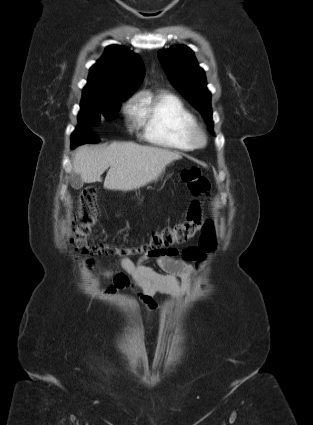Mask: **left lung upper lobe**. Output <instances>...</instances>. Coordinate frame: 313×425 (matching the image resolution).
Instances as JSON below:
<instances>
[{
    "label": "left lung upper lobe",
    "instance_id": "left-lung-upper-lobe-1",
    "mask_svg": "<svg viewBox=\"0 0 313 425\" xmlns=\"http://www.w3.org/2000/svg\"><path fill=\"white\" fill-rule=\"evenodd\" d=\"M158 58L172 85L202 114L210 133L214 134L211 93L194 52L187 46L176 45L160 50Z\"/></svg>",
    "mask_w": 313,
    "mask_h": 425
}]
</instances>
